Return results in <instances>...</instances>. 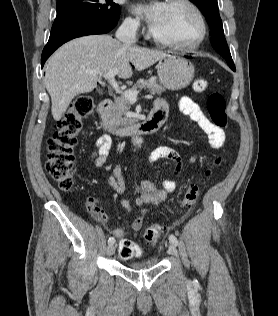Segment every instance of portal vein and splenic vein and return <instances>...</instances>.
<instances>
[{
    "instance_id": "portal-vein-and-splenic-vein-1",
    "label": "portal vein and splenic vein",
    "mask_w": 278,
    "mask_h": 316,
    "mask_svg": "<svg viewBox=\"0 0 278 316\" xmlns=\"http://www.w3.org/2000/svg\"><path fill=\"white\" fill-rule=\"evenodd\" d=\"M88 73L102 75L105 79L108 80L109 84L116 91V93H120L125 98H127L130 102L137 101V95H138L139 91H137V90L136 91H133V90L122 91L120 89L118 83L115 80V76L118 74L117 69H112V70H109L108 72L89 71Z\"/></svg>"
}]
</instances>
